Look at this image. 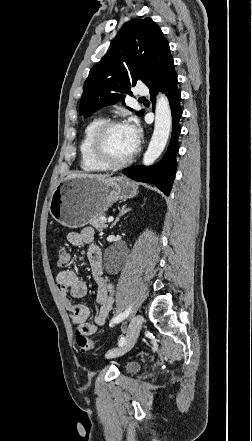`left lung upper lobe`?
Returning <instances> with one entry per match:
<instances>
[{
	"label": "left lung upper lobe",
	"mask_w": 252,
	"mask_h": 441,
	"mask_svg": "<svg viewBox=\"0 0 252 441\" xmlns=\"http://www.w3.org/2000/svg\"><path fill=\"white\" fill-rule=\"evenodd\" d=\"M167 45L161 29L151 18L131 19L125 23L111 49L90 70L79 114L87 118L102 107L119 101L124 103L126 94H131L130 88L138 80L148 85ZM136 113L143 115V111Z\"/></svg>",
	"instance_id": "5c2ea615"
}]
</instances>
